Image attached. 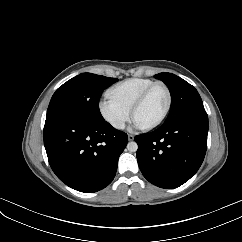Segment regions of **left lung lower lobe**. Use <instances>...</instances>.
<instances>
[{
	"instance_id": "left-lung-lower-lobe-1",
	"label": "left lung lower lobe",
	"mask_w": 242,
	"mask_h": 242,
	"mask_svg": "<svg viewBox=\"0 0 242 242\" xmlns=\"http://www.w3.org/2000/svg\"><path fill=\"white\" fill-rule=\"evenodd\" d=\"M208 116L194 110L136 136L137 160L143 176L161 188H176L200 168L207 149Z\"/></svg>"
}]
</instances>
